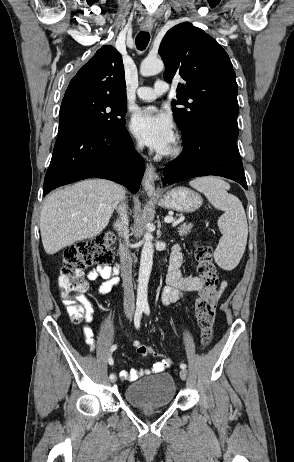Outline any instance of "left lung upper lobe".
Listing matches in <instances>:
<instances>
[{"mask_svg": "<svg viewBox=\"0 0 294 462\" xmlns=\"http://www.w3.org/2000/svg\"><path fill=\"white\" fill-rule=\"evenodd\" d=\"M159 54L167 82L180 75L186 82L177 88L174 119L184 139L209 115L225 105L238 107L235 72L226 51L202 29L184 22L164 36ZM175 106V103H173Z\"/></svg>", "mask_w": 294, "mask_h": 462, "instance_id": "obj_1", "label": "left lung upper lobe"}]
</instances>
